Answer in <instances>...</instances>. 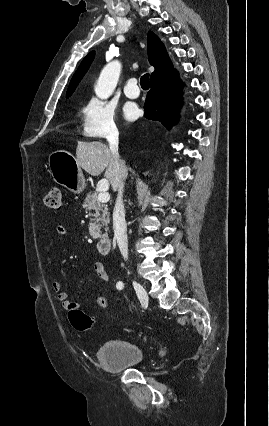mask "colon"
<instances>
[{
	"label": "colon",
	"mask_w": 269,
	"mask_h": 426,
	"mask_svg": "<svg viewBox=\"0 0 269 426\" xmlns=\"http://www.w3.org/2000/svg\"><path fill=\"white\" fill-rule=\"evenodd\" d=\"M44 203L50 209H59L61 205L60 189L56 187L51 188L44 196ZM69 320L72 326L81 332L90 331L95 327V321L77 307L70 309Z\"/></svg>",
	"instance_id": "colon-1"
}]
</instances>
